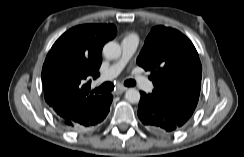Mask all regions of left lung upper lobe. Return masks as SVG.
Listing matches in <instances>:
<instances>
[{
  "instance_id": "left-lung-upper-lobe-1",
  "label": "left lung upper lobe",
  "mask_w": 244,
  "mask_h": 157,
  "mask_svg": "<svg viewBox=\"0 0 244 157\" xmlns=\"http://www.w3.org/2000/svg\"><path fill=\"white\" fill-rule=\"evenodd\" d=\"M137 63L152 71V94L185 124L197 106L201 88L202 67L192 42L176 29L156 26L146 38Z\"/></svg>"
}]
</instances>
